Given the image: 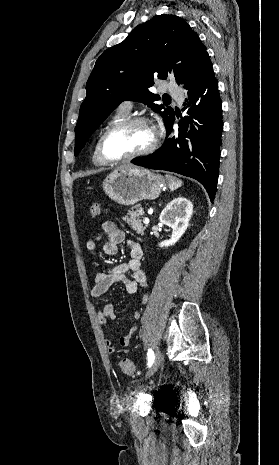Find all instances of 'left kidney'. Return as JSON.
Returning <instances> with one entry per match:
<instances>
[{
  "label": "left kidney",
  "mask_w": 279,
  "mask_h": 465,
  "mask_svg": "<svg viewBox=\"0 0 279 465\" xmlns=\"http://www.w3.org/2000/svg\"><path fill=\"white\" fill-rule=\"evenodd\" d=\"M193 214V204L184 197L174 198L162 210L159 220L161 223L172 228V236L169 240L159 243V247L174 245L185 233Z\"/></svg>",
  "instance_id": "5707ae66"
}]
</instances>
